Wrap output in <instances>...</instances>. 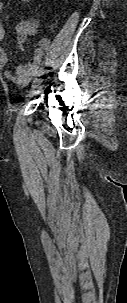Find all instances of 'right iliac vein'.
Wrapping results in <instances>:
<instances>
[{
	"mask_svg": "<svg viewBox=\"0 0 127 303\" xmlns=\"http://www.w3.org/2000/svg\"><path fill=\"white\" fill-rule=\"evenodd\" d=\"M43 80H44L43 74L40 76H37V78H35V80L32 84V89L37 88L42 83Z\"/></svg>",
	"mask_w": 127,
	"mask_h": 303,
	"instance_id": "right-iliac-vein-1",
	"label": "right iliac vein"
}]
</instances>
